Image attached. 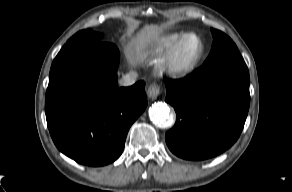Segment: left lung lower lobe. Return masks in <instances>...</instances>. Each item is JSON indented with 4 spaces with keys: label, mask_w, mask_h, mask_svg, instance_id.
<instances>
[{
    "label": "left lung lower lobe",
    "mask_w": 292,
    "mask_h": 192,
    "mask_svg": "<svg viewBox=\"0 0 292 192\" xmlns=\"http://www.w3.org/2000/svg\"><path fill=\"white\" fill-rule=\"evenodd\" d=\"M176 123L166 135L169 149L187 160H204L230 148L240 136L250 104L244 60L203 65L189 76L164 79Z\"/></svg>",
    "instance_id": "1"
}]
</instances>
